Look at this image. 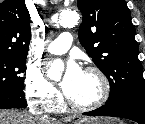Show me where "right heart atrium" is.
I'll return each instance as SVG.
<instances>
[{"label":"right heart atrium","mask_w":145,"mask_h":124,"mask_svg":"<svg viewBox=\"0 0 145 124\" xmlns=\"http://www.w3.org/2000/svg\"><path fill=\"white\" fill-rule=\"evenodd\" d=\"M25 94L32 105L43 111L54 112L60 107L57 89L48 82L39 69L28 67L24 77Z\"/></svg>","instance_id":"1"}]
</instances>
